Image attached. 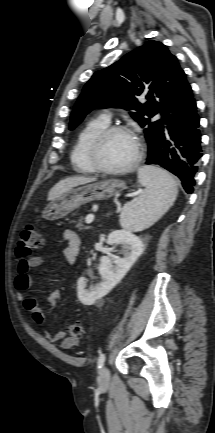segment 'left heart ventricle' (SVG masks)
<instances>
[{
	"label": "left heart ventricle",
	"instance_id": "left-heart-ventricle-1",
	"mask_svg": "<svg viewBox=\"0 0 215 433\" xmlns=\"http://www.w3.org/2000/svg\"><path fill=\"white\" fill-rule=\"evenodd\" d=\"M136 152L135 140L126 134L114 133L107 137L98 150L99 162L109 168L127 165Z\"/></svg>",
	"mask_w": 215,
	"mask_h": 433
}]
</instances>
